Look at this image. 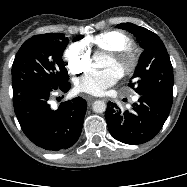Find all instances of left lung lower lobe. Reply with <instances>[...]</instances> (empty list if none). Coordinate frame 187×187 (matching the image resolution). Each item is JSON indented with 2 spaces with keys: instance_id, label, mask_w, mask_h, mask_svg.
<instances>
[{
  "instance_id": "left-lung-lower-lobe-1",
  "label": "left lung lower lobe",
  "mask_w": 187,
  "mask_h": 187,
  "mask_svg": "<svg viewBox=\"0 0 187 187\" xmlns=\"http://www.w3.org/2000/svg\"><path fill=\"white\" fill-rule=\"evenodd\" d=\"M171 106L172 98L153 94L140 95L129 111L121 112L116 104H108L105 117L109 132L126 144L145 143L161 130Z\"/></svg>"
}]
</instances>
